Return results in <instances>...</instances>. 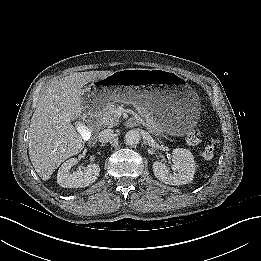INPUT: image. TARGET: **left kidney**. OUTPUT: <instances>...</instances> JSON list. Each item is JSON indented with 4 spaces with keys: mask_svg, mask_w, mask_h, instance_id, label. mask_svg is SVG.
<instances>
[{
    "mask_svg": "<svg viewBox=\"0 0 261 261\" xmlns=\"http://www.w3.org/2000/svg\"><path fill=\"white\" fill-rule=\"evenodd\" d=\"M172 154L174 172L169 171L165 164L155 161L152 165L155 177L165 184L175 186L190 183L196 169L192 153L187 149L176 148Z\"/></svg>",
    "mask_w": 261,
    "mask_h": 261,
    "instance_id": "1",
    "label": "left kidney"
}]
</instances>
